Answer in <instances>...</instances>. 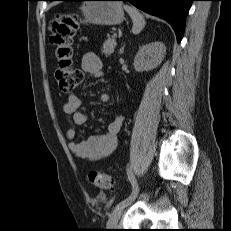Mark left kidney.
I'll list each match as a JSON object with an SVG mask.
<instances>
[{"label":"left kidney","instance_id":"5707ae66","mask_svg":"<svg viewBox=\"0 0 231 231\" xmlns=\"http://www.w3.org/2000/svg\"><path fill=\"white\" fill-rule=\"evenodd\" d=\"M166 47L162 42H152L139 48L134 59V68L138 72L156 68L163 60Z\"/></svg>","mask_w":231,"mask_h":231}]
</instances>
